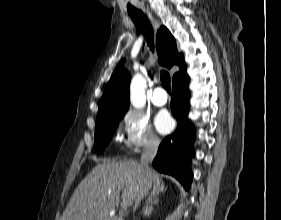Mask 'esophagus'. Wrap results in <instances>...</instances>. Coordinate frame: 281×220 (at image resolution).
Masks as SVG:
<instances>
[{"label": "esophagus", "instance_id": "1", "mask_svg": "<svg viewBox=\"0 0 281 220\" xmlns=\"http://www.w3.org/2000/svg\"><path fill=\"white\" fill-rule=\"evenodd\" d=\"M144 10L147 12V15H148L149 19L151 20V22L153 23V25H154L155 27H157V26H158V22H157V20L153 17L152 13H151L149 10H146L145 8H144Z\"/></svg>", "mask_w": 281, "mask_h": 220}]
</instances>
